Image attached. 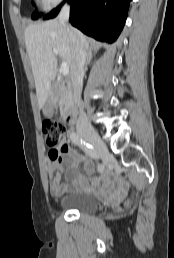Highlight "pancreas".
Instances as JSON below:
<instances>
[{"instance_id":"pancreas-1","label":"pancreas","mask_w":174,"mask_h":258,"mask_svg":"<svg viewBox=\"0 0 174 258\" xmlns=\"http://www.w3.org/2000/svg\"><path fill=\"white\" fill-rule=\"evenodd\" d=\"M67 103V98L65 93L62 94V104H66Z\"/></svg>"}]
</instances>
